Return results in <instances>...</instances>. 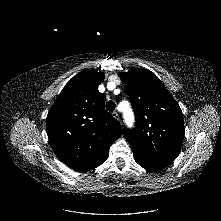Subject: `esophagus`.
<instances>
[{"label":"esophagus","mask_w":221,"mask_h":221,"mask_svg":"<svg viewBox=\"0 0 221 221\" xmlns=\"http://www.w3.org/2000/svg\"><path fill=\"white\" fill-rule=\"evenodd\" d=\"M112 116L115 118V119H119V115L116 111L112 112Z\"/></svg>","instance_id":"esophagus-1"}]
</instances>
